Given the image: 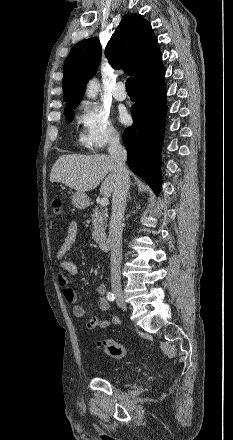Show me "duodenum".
Segmentation results:
<instances>
[{
  "label": "duodenum",
  "instance_id": "duodenum-1",
  "mask_svg": "<svg viewBox=\"0 0 233 440\" xmlns=\"http://www.w3.org/2000/svg\"><path fill=\"white\" fill-rule=\"evenodd\" d=\"M110 240L108 238L102 237L99 239V246L103 250H108L110 248Z\"/></svg>",
  "mask_w": 233,
  "mask_h": 440
}]
</instances>
